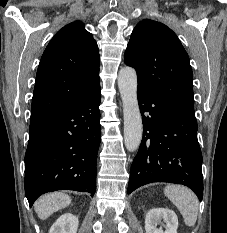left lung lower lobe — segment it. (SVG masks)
<instances>
[{
    "label": "left lung lower lobe",
    "mask_w": 227,
    "mask_h": 233,
    "mask_svg": "<svg viewBox=\"0 0 227 233\" xmlns=\"http://www.w3.org/2000/svg\"><path fill=\"white\" fill-rule=\"evenodd\" d=\"M143 138L131 166L128 194L152 182L182 184L203 197L202 153L194 112L137 90Z\"/></svg>",
    "instance_id": "left-lung-lower-lobe-1"
}]
</instances>
